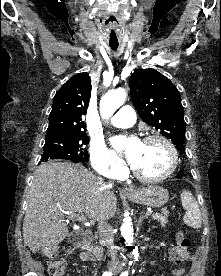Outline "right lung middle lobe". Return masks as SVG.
Wrapping results in <instances>:
<instances>
[{"mask_svg": "<svg viewBox=\"0 0 221 276\" xmlns=\"http://www.w3.org/2000/svg\"><path fill=\"white\" fill-rule=\"evenodd\" d=\"M89 138L85 132L45 136V145L41 161L71 160L73 162H87L88 152L85 145Z\"/></svg>", "mask_w": 221, "mask_h": 276, "instance_id": "obj_1", "label": "right lung middle lobe"}]
</instances>
